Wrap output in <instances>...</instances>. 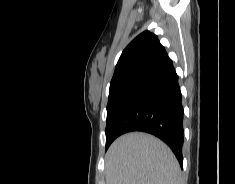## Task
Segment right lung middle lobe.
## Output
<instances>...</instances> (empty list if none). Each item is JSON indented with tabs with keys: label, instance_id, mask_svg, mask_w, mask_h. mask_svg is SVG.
I'll return each instance as SVG.
<instances>
[{
	"label": "right lung middle lobe",
	"instance_id": "obj_1",
	"mask_svg": "<svg viewBox=\"0 0 235 184\" xmlns=\"http://www.w3.org/2000/svg\"><path fill=\"white\" fill-rule=\"evenodd\" d=\"M138 80H132L128 84L117 88L115 90L109 91V99L107 104V126L105 130L106 134V150L110 146V144L115 140V136L113 132L110 130V123L113 119V116L121 103L123 97L127 93V91L137 82Z\"/></svg>",
	"mask_w": 235,
	"mask_h": 184
}]
</instances>
